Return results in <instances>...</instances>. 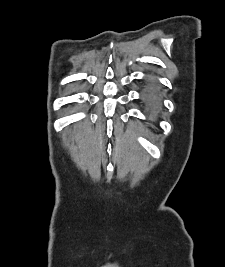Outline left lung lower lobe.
I'll return each mask as SVG.
<instances>
[{"label": "left lung lower lobe", "mask_w": 225, "mask_h": 267, "mask_svg": "<svg viewBox=\"0 0 225 267\" xmlns=\"http://www.w3.org/2000/svg\"><path fill=\"white\" fill-rule=\"evenodd\" d=\"M145 103L147 107L153 112V114L157 113L160 110L159 100L154 91H150L148 93Z\"/></svg>", "instance_id": "obj_1"}]
</instances>
